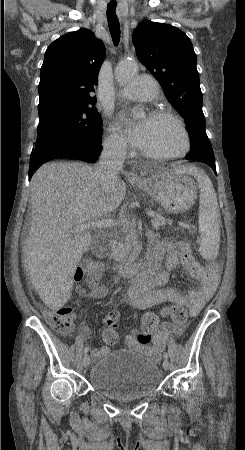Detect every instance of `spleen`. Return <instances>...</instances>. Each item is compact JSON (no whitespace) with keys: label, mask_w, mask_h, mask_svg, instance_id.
I'll list each match as a JSON object with an SVG mask.
<instances>
[{"label":"spleen","mask_w":245,"mask_h":450,"mask_svg":"<svg viewBox=\"0 0 245 450\" xmlns=\"http://www.w3.org/2000/svg\"><path fill=\"white\" fill-rule=\"evenodd\" d=\"M183 171L194 176L200 189L199 199V232L201 256L206 260L217 257L220 246L221 216L217 195L210 178L206 173L194 166L183 167Z\"/></svg>","instance_id":"obj_1"}]
</instances>
